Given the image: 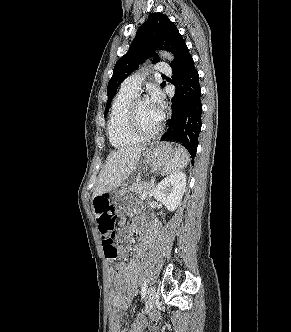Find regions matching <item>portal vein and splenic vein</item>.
<instances>
[{"mask_svg":"<svg viewBox=\"0 0 291 332\" xmlns=\"http://www.w3.org/2000/svg\"><path fill=\"white\" fill-rule=\"evenodd\" d=\"M147 194L143 195L141 199H144Z\"/></svg>","mask_w":291,"mask_h":332,"instance_id":"18ae733b","label":"portal vein and splenic vein"}]
</instances>
